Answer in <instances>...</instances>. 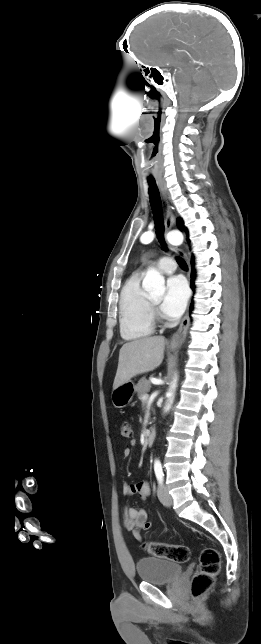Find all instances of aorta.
<instances>
[{
  "label": "aorta",
  "mask_w": 261,
  "mask_h": 644,
  "mask_svg": "<svg viewBox=\"0 0 261 644\" xmlns=\"http://www.w3.org/2000/svg\"><path fill=\"white\" fill-rule=\"evenodd\" d=\"M168 239L171 243H174L177 240H181L182 236L180 234H174L173 236H169ZM142 287L145 291L153 295H158V296L163 295L165 292V279L156 269L149 268L143 280ZM176 384H177V376H175L172 384L170 385L169 391L167 393L168 400L164 407V412H168L171 408V405L174 400V392L176 389Z\"/></svg>",
  "instance_id": "1"
}]
</instances>
